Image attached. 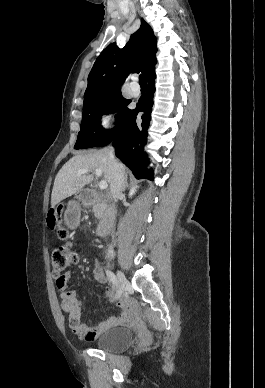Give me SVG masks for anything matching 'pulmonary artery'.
Returning a JSON list of instances; mask_svg holds the SVG:
<instances>
[{
    "label": "pulmonary artery",
    "mask_w": 265,
    "mask_h": 388,
    "mask_svg": "<svg viewBox=\"0 0 265 388\" xmlns=\"http://www.w3.org/2000/svg\"><path fill=\"white\" fill-rule=\"evenodd\" d=\"M131 80H132L133 82H136V81L138 80V77H137L136 75H133V76L131 77ZM129 89L132 90V91H131V94H132L133 96H137L138 93H139L137 90L140 89V84H139V83H130V84H129Z\"/></svg>",
    "instance_id": "1"
}]
</instances>
